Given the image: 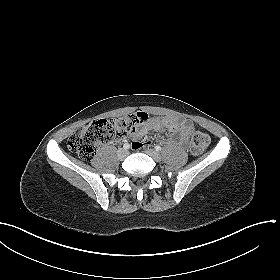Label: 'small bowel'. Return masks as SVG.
<instances>
[{
	"mask_svg": "<svg viewBox=\"0 0 280 280\" xmlns=\"http://www.w3.org/2000/svg\"><path fill=\"white\" fill-rule=\"evenodd\" d=\"M166 130L170 134L178 133L180 135V143H185L188 135L194 130V124L184 118L165 117L156 118L149 121L147 125L141 129L131 133L133 138L140 139L151 131Z\"/></svg>",
	"mask_w": 280,
	"mask_h": 280,
	"instance_id": "small-bowel-1",
	"label": "small bowel"
}]
</instances>
